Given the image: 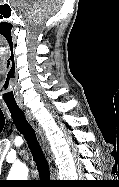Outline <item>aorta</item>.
Returning <instances> with one entry per match:
<instances>
[{
    "instance_id": "obj_1",
    "label": "aorta",
    "mask_w": 119,
    "mask_h": 187,
    "mask_svg": "<svg viewBox=\"0 0 119 187\" xmlns=\"http://www.w3.org/2000/svg\"><path fill=\"white\" fill-rule=\"evenodd\" d=\"M28 176V168L25 164H14L9 172L8 178L11 180H26Z\"/></svg>"
}]
</instances>
